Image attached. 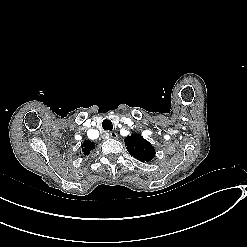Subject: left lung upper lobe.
Wrapping results in <instances>:
<instances>
[{"label": "left lung upper lobe", "mask_w": 247, "mask_h": 247, "mask_svg": "<svg viewBox=\"0 0 247 247\" xmlns=\"http://www.w3.org/2000/svg\"><path fill=\"white\" fill-rule=\"evenodd\" d=\"M131 156L142 162H149L155 156L154 147L139 134H132L124 140Z\"/></svg>", "instance_id": "left-lung-upper-lobe-1"}]
</instances>
